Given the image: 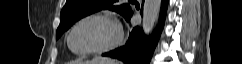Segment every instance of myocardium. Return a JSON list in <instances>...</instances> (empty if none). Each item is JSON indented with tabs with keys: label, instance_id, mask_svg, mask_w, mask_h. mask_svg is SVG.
<instances>
[{
	"label": "myocardium",
	"instance_id": "f54148a6",
	"mask_svg": "<svg viewBox=\"0 0 242 64\" xmlns=\"http://www.w3.org/2000/svg\"><path fill=\"white\" fill-rule=\"evenodd\" d=\"M104 20L107 21L109 23H111L116 30V36L115 38L110 41L109 43L102 45L100 47H95L92 49H88V50H84V51H76L72 48L71 45V38L73 33L75 32V30L84 22L89 21V20ZM123 29L122 26L120 24V22L118 21V19H116L115 17L109 15V14H104V13H92V14H88L83 16L82 18H80L79 20H77L73 26L71 27L68 36H67V45L69 47V49L76 55L79 56H85V55H91V54H98V53H105L108 51H111L113 49H115L116 47H118L121 42L123 41Z\"/></svg>",
	"mask_w": 242,
	"mask_h": 64
}]
</instances>
